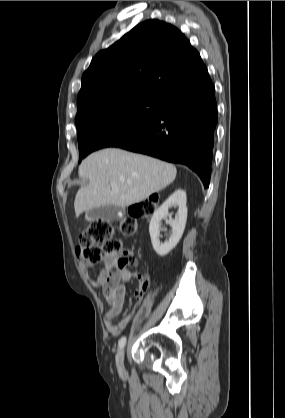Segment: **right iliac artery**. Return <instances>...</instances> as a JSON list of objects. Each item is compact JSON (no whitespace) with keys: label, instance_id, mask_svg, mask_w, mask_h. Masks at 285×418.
<instances>
[{"label":"right iliac artery","instance_id":"right-iliac-artery-1","mask_svg":"<svg viewBox=\"0 0 285 418\" xmlns=\"http://www.w3.org/2000/svg\"><path fill=\"white\" fill-rule=\"evenodd\" d=\"M125 344H126V337H121L118 342V347L122 349L125 346Z\"/></svg>","mask_w":285,"mask_h":418}]
</instances>
